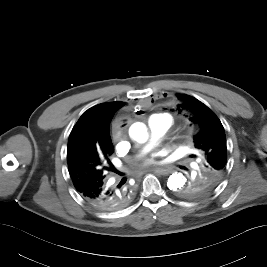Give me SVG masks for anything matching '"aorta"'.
<instances>
[{"label":"aorta","mask_w":267,"mask_h":267,"mask_svg":"<svg viewBox=\"0 0 267 267\" xmlns=\"http://www.w3.org/2000/svg\"><path fill=\"white\" fill-rule=\"evenodd\" d=\"M130 136L139 143H144L148 140V132L145 124L136 122L129 129ZM186 183V177L182 173H173L169 176L167 186L170 190H180Z\"/></svg>","instance_id":"aorta-1"}]
</instances>
